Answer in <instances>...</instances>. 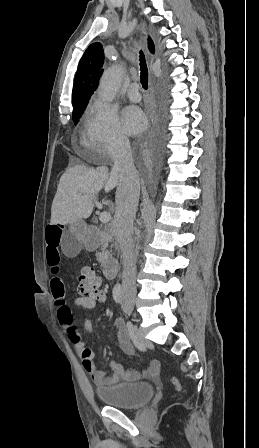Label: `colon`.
<instances>
[{
    "label": "colon",
    "instance_id": "5ec220e1",
    "mask_svg": "<svg viewBox=\"0 0 259 448\" xmlns=\"http://www.w3.org/2000/svg\"><path fill=\"white\" fill-rule=\"evenodd\" d=\"M101 279L90 269H85L80 272L78 277V293L81 296H95L98 295L101 289ZM173 384L178 387V380L173 379Z\"/></svg>",
    "mask_w": 259,
    "mask_h": 448
}]
</instances>
